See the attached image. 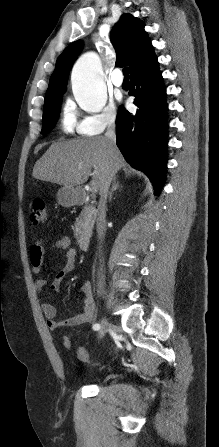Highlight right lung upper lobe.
<instances>
[{"instance_id": "right-lung-upper-lobe-1", "label": "right lung upper lobe", "mask_w": 219, "mask_h": 447, "mask_svg": "<svg viewBox=\"0 0 219 447\" xmlns=\"http://www.w3.org/2000/svg\"><path fill=\"white\" fill-rule=\"evenodd\" d=\"M116 50V66L129 65L131 75L147 66L156 57L144 24L131 14H123L111 31ZM82 48L81 41L71 43L56 61L45 99L64 93L69 70Z\"/></svg>"}]
</instances>
